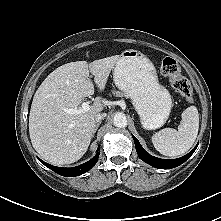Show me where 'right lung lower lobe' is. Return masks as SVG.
<instances>
[{"label": "right lung lower lobe", "instance_id": "1", "mask_svg": "<svg viewBox=\"0 0 221 221\" xmlns=\"http://www.w3.org/2000/svg\"><path fill=\"white\" fill-rule=\"evenodd\" d=\"M98 156L99 153H97L95 155L94 158H92L91 160H89L88 162L79 165L77 167H73V168H62V167H56V166H52L44 161H42L41 159H39V161L44 164L46 167L50 168L52 171L56 172L57 174L61 175V176H65V177H74V176H79L81 174H84L85 172L89 171L98 161Z\"/></svg>", "mask_w": 221, "mask_h": 221}]
</instances>
